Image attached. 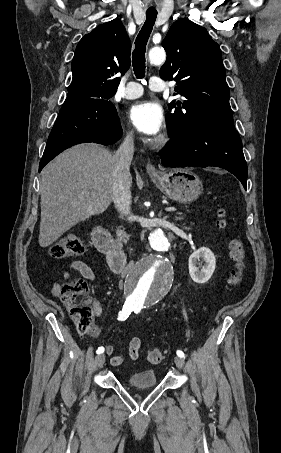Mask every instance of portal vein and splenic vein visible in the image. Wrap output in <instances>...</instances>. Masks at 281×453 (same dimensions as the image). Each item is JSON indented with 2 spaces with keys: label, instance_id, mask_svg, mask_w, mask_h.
Listing matches in <instances>:
<instances>
[{
  "label": "portal vein and splenic vein",
  "instance_id": "obj_1",
  "mask_svg": "<svg viewBox=\"0 0 281 453\" xmlns=\"http://www.w3.org/2000/svg\"><path fill=\"white\" fill-rule=\"evenodd\" d=\"M164 209H165V210H164L165 212H171V213H172V212H177V211H178V208H177V207H172V206H171V207H167V208L165 207Z\"/></svg>",
  "mask_w": 281,
  "mask_h": 453
}]
</instances>
